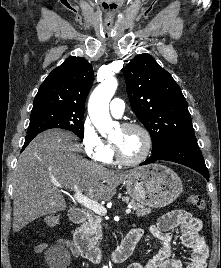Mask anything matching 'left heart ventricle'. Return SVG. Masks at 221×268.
<instances>
[{
  "instance_id": "obj_1",
  "label": "left heart ventricle",
  "mask_w": 221,
  "mask_h": 268,
  "mask_svg": "<svg viewBox=\"0 0 221 268\" xmlns=\"http://www.w3.org/2000/svg\"><path fill=\"white\" fill-rule=\"evenodd\" d=\"M121 154L127 159H135L141 155L145 147L143 134L136 129H118L112 138Z\"/></svg>"
}]
</instances>
